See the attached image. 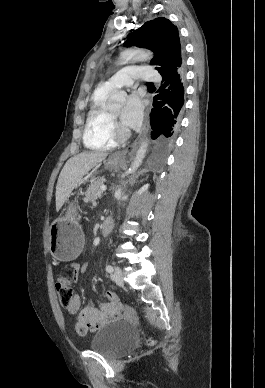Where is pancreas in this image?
Instances as JSON below:
<instances>
[{"label": "pancreas", "mask_w": 265, "mask_h": 388, "mask_svg": "<svg viewBox=\"0 0 265 388\" xmlns=\"http://www.w3.org/2000/svg\"><path fill=\"white\" fill-rule=\"evenodd\" d=\"M100 186H103L102 180H95V182L90 184L88 190L85 192V202H93V200L101 198L102 190H100Z\"/></svg>", "instance_id": "cf45deb5"}]
</instances>
